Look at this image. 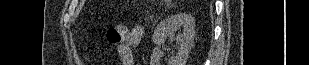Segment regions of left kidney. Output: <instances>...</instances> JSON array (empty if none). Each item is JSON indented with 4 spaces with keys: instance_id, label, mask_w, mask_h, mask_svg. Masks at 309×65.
<instances>
[{
    "instance_id": "left-kidney-1",
    "label": "left kidney",
    "mask_w": 309,
    "mask_h": 65,
    "mask_svg": "<svg viewBox=\"0 0 309 65\" xmlns=\"http://www.w3.org/2000/svg\"><path fill=\"white\" fill-rule=\"evenodd\" d=\"M178 28H182L183 32L175 37V31ZM194 37L195 21L190 15L180 13L167 17L155 28L152 35L153 42L156 46L153 49L150 64L163 65L164 54L160 46L167 38H170V40H178L180 42V47L178 48L176 56L169 58L168 65H185L194 44Z\"/></svg>"
}]
</instances>
